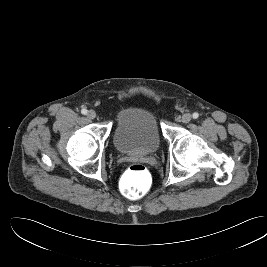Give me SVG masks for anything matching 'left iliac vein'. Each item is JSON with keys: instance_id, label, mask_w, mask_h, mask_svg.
Listing matches in <instances>:
<instances>
[{"instance_id": "4c4485c4", "label": "left iliac vein", "mask_w": 267, "mask_h": 267, "mask_svg": "<svg viewBox=\"0 0 267 267\" xmlns=\"http://www.w3.org/2000/svg\"><path fill=\"white\" fill-rule=\"evenodd\" d=\"M191 119H192V116L188 113H186L182 116V122H184V123H189L191 121Z\"/></svg>"}]
</instances>
